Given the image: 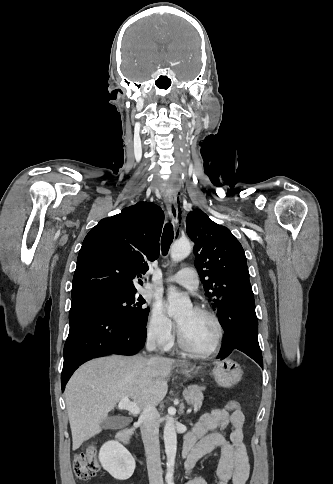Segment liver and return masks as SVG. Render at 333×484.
I'll list each match as a JSON object with an SVG mask.
<instances>
[{"instance_id":"liver-1","label":"liver","mask_w":333,"mask_h":484,"mask_svg":"<svg viewBox=\"0 0 333 484\" xmlns=\"http://www.w3.org/2000/svg\"><path fill=\"white\" fill-rule=\"evenodd\" d=\"M178 363L188 365L138 355L98 358L81 366L65 388L73 450L101 432V422L121 399L131 398L140 409L161 403L168 391V378Z\"/></svg>"}]
</instances>
